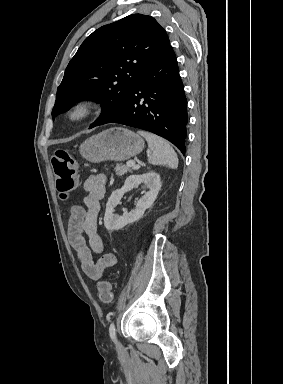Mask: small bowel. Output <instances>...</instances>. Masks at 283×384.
I'll return each instance as SVG.
<instances>
[{
    "label": "small bowel",
    "instance_id": "obj_1",
    "mask_svg": "<svg viewBox=\"0 0 283 384\" xmlns=\"http://www.w3.org/2000/svg\"><path fill=\"white\" fill-rule=\"evenodd\" d=\"M107 178L104 174L90 175L84 182V207L74 206L70 210L68 236L75 250L82 271L92 280L101 278L105 269L116 263L112 253H104V244L97 232V218L100 202L106 191ZM86 234L88 240L83 237ZM94 254H100L95 261Z\"/></svg>",
    "mask_w": 283,
    "mask_h": 384
}]
</instances>
